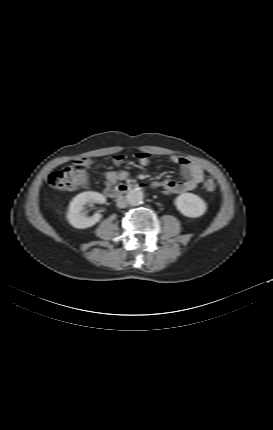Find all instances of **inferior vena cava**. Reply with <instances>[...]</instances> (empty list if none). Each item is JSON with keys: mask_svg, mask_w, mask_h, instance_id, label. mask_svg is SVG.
Instances as JSON below:
<instances>
[{"mask_svg": "<svg viewBox=\"0 0 273 430\" xmlns=\"http://www.w3.org/2000/svg\"><path fill=\"white\" fill-rule=\"evenodd\" d=\"M127 204H128V201H127L126 197H124V196H120V197L117 199V206H118L119 208H125V207L127 206Z\"/></svg>", "mask_w": 273, "mask_h": 430, "instance_id": "inferior-vena-cava-1", "label": "inferior vena cava"}]
</instances>
